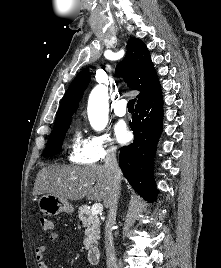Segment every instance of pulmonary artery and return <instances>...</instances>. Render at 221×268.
I'll return each mask as SVG.
<instances>
[{"label":"pulmonary artery","mask_w":221,"mask_h":268,"mask_svg":"<svg viewBox=\"0 0 221 268\" xmlns=\"http://www.w3.org/2000/svg\"><path fill=\"white\" fill-rule=\"evenodd\" d=\"M114 113L117 116H125L127 113V109H126V101L125 100H118L113 107Z\"/></svg>","instance_id":"e3ab8cb5"}]
</instances>
